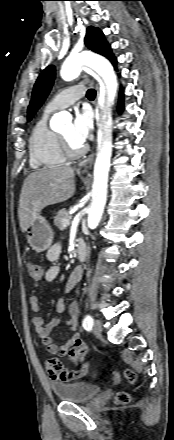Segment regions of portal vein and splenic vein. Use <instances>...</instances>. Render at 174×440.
I'll list each match as a JSON object with an SVG mask.
<instances>
[{
	"label": "portal vein and splenic vein",
	"instance_id": "portal-vein-and-splenic-vein-1",
	"mask_svg": "<svg viewBox=\"0 0 174 440\" xmlns=\"http://www.w3.org/2000/svg\"><path fill=\"white\" fill-rule=\"evenodd\" d=\"M69 224H70V220L69 219L62 220V226L63 227H67Z\"/></svg>",
	"mask_w": 174,
	"mask_h": 440
}]
</instances>
